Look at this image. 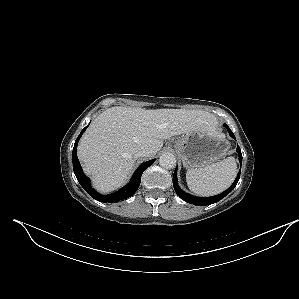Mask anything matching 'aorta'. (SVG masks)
<instances>
[{"label":"aorta","mask_w":299,"mask_h":299,"mask_svg":"<svg viewBox=\"0 0 299 299\" xmlns=\"http://www.w3.org/2000/svg\"><path fill=\"white\" fill-rule=\"evenodd\" d=\"M159 164L165 169H173L176 166V158L172 153H164L159 158Z\"/></svg>","instance_id":"1"}]
</instances>
